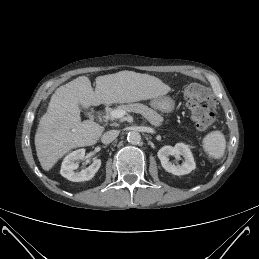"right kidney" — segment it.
<instances>
[{
	"label": "right kidney",
	"instance_id": "obj_1",
	"mask_svg": "<svg viewBox=\"0 0 259 259\" xmlns=\"http://www.w3.org/2000/svg\"><path fill=\"white\" fill-rule=\"evenodd\" d=\"M85 157V149H78L68 154L61 165L60 174L73 182H82L92 179L101 166V160L95 159L93 163L81 172H74L78 168L77 160Z\"/></svg>",
	"mask_w": 259,
	"mask_h": 259
}]
</instances>
